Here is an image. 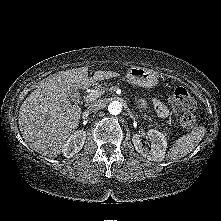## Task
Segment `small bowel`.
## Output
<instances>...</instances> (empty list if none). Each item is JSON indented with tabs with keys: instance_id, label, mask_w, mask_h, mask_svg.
<instances>
[{
	"instance_id": "obj_1",
	"label": "small bowel",
	"mask_w": 221,
	"mask_h": 221,
	"mask_svg": "<svg viewBox=\"0 0 221 221\" xmlns=\"http://www.w3.org/2000/svg\"><path fill=\"white\" fill-rule=\"evenodd\" d=\"M154 105H155L156 112L160 117H166L169 114V109L164 104L158 101H155Z\"/></svg>"
}]
</instances>
